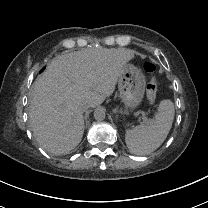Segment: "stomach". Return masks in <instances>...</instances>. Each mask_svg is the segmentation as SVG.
I'll list each match as a JSON object with an SVG mask.
<instances>
[{"label": "stomach", "instance_id": "1", "mask_svg": "<svg viewBox=\"0 0 208 208\" xmlns=\"http://www.w3.org/2000/svg\"><path fill=\"white\" fill-rule=\"evenodd\" d=\"M146 80L142 71L132 64L126 63L118 77L120 98L126 109L137 107L145 92Z\"/></svg>", "mask_w": 208, "mask_h": 208}]
</instances>
